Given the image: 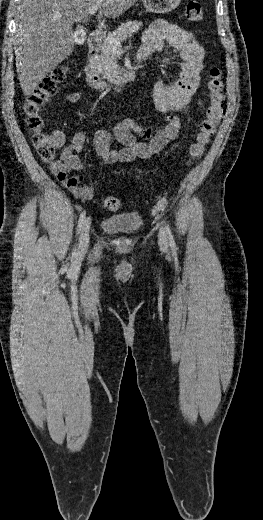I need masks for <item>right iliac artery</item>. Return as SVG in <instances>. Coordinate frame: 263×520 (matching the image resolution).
<instances>
[{"mask_svg": "<svg viewBox=\"0 0 263 520\" xmlns=\"http://www.w3.org/2000/svg\"><path fill=\"white\" fill-rule=\"evenodd\" d=\"M85 211H83L81 214H80V217H79V222H78V226H77V234H79V232L81 231V228H82V225L84 223V219H85Z\"/></svg>", "mask_w": 263, "mask_h": 520, "instance_id": "82829eb1", "label": "right iliac artery"}]
</instances>
